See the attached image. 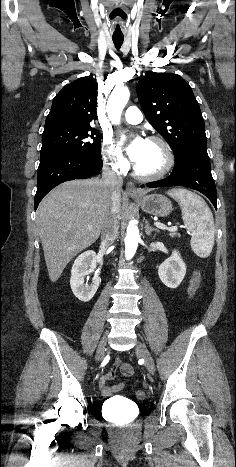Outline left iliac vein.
I'll list each match as a JSON object with an SVG mask.
<instances>
[{"label":"left iliac vein","instance_id":"4c4485c4","mask_svg":"<svg viewBox=\"0 0 236 467\" xmlns=\"http://www.w3.org/2000/svg\"><path fill=\"white\" fill-rule=\"evenodd\" d=\"M135 350L144 359L146 368L149 371V373L154 374L155 373L154 360L150 352L148 351L147 347L143 343L137 342Z\"/></svg>","mask_w":236,"mask_h":467}]
</instances>
